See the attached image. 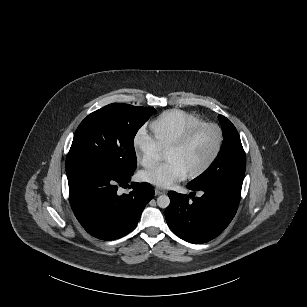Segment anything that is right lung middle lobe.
Here are the masks:
<instances>
[{
  "mask_svg": "<svg viewBox=\"0 0 307 307\" xmlns=\"http://www.w3.org/2000/svg\"><path fill=\"white\" fill-rule=\"evenodd\" d=\"M153 107L109 104L78 126L66 159V173L107 170L132 175L137 166L134 137Z\"/></svg>",
  "mask_w": 307,
  "mask_h": 307,
  "instance_id": "dd1d6c3e",
  "label": "right lung middle lobe"
}]
</instances>
